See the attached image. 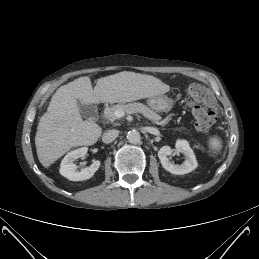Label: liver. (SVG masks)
<instances>
[{
	"label": "liver",
	"instance_id": "1",
	"mask_svg": "<svg viewBox=\"0 0 259 259\" xmlns=\"http://www.w3.org/2000/svg\"><path fill=\"white\" fill-rule=\"evenodd\" d=\"M169 90L156 77L129 71L99 78L94 89L89 77H80L59 87L37 127L35 145L40 163L48 168L72 147L93 145L100 137L101 127L92 120L82 119L78 102L84 105L125 103Z\"/></svg>",
	"mask_w": 259,
	"mask_h": 259
}]
</instances>
